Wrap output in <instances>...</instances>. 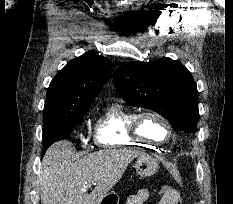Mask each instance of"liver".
I'll use <instances>...</instances> for the list:
<instances>
[{
    "mask_svg": "<svg viewBox=\"0 0 233 204\" xmlns=\"http://www.w3.org/2000/svg\"><path fill=\"white\" fill-rule=\"evenodd\" d=\"M73 151V144L66 140L46 151L39 175L42 204H100L131 161L144 154L135 149H106L72 161ZM90 183L96 186L89 194Z\"/></svg>",
    "mask_w": 233,
    "mask_h": 204,
    "instance_id": "liver-1",
    "label": "liver"
}]
</instances>
